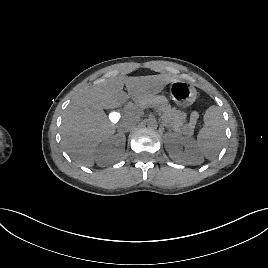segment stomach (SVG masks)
<instances>
[{
    "instance_id": "1",
    "label": "stomach",
    "mask_w": 268,
    "mask_h": 268,
    "mask_svg": "<svg viewBox=\"0 0 268 268\" xmlns=\"http://www.w3.org/2000/svg\"><path fill=\"white\" fill-rule=\"evenodd\" d=\"M170 94L177 105L188 107L195 101L197 92L188 82L175 80L170 83Z\"/></svg>"
}]
</instances>
